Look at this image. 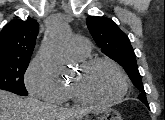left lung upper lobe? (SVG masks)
<instances>
[{"instance_id": "left-lung-upper-lobe-1", "label": "left lung upper lobe", "mask_w": 165, "mask_h": 120, "mask_svg": "<svg viewBox=\"0 0 165 120\" xmlns=\"http://www.w3.org/2000/svg\"><path fill=\"white\" fill-rule=\"evenodd\" d=\"M87 27L101 51L119 63L129 75V78L141 92L138 99L149 107L146 93L138 71L136 56L127 35L116 23L107 17L89 16Z\"/></svg>"}]
</instances>
